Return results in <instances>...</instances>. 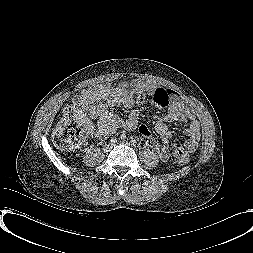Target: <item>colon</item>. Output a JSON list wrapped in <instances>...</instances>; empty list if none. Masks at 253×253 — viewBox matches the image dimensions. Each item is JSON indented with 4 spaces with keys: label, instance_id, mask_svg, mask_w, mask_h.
Returning <instances> with one entry per match:
<instances>
[{
    "label": "colon",
    "instance_id": "colon-1",
    "mask_svg": "<svg viewBox=\"0 0 253 253\" xmlns=\"http://www.w3.org/2000/svg\"><path fill=\"white\" fill-rule=\"evenodd\" d=\"M130 95L134 98L141 97V93L136 89H131ZM87 131L88 127L84 117L68 109L54 130V144L63 150H74L82 144ZM173 154L180 164H186L189 161V152L180 146L174 148Z\"/></svg>",
    "mask_w": 253,
    "mask_h": 253
}]
</instances>
